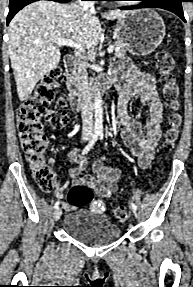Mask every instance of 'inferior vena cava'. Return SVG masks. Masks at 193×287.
I'll return each instance as SVG.
<instances>
[{"label":"inferior vena cava","instance_id":"inferior-vena-cava-1","mask_svg":"<svg viewBox=\"0 0 193 287\" xmlns=\"http://www.w3.org/2000/svg\"><path fill=\"white\" fill-rule=\"evenodd\" d=\"M80 7L94 10L93 1H78ZM78 80L82 88L81 92V107H82V136L84 139L93 137V107L90 96V86L88 80L87 64L81 62L78 66Z\"/></svg>","mask_w":193,"mask_h":287}]
</instances>
